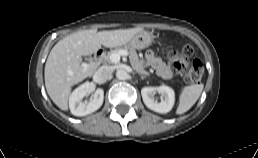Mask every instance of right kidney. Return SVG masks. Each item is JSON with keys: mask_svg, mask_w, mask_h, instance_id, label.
Returning a JSON list of instances; mask_svg holds the SVG:
<instances>
[{"mask_svg": "<svg viewBox=\"0 0 258 158\" xmlns=\"http://www.w3.org/2000/svg\"><path fill=\"white\" fill-rule=\"evenodd\" d=\"M93 90L91 83L86 82L76 88L69 97V108L73 115L82 117L88 114H91L98 110L104 100V91L101 88H98L94 94L93 99L89 102H83V98L90 94Z\"/></svg>", "mask_w": 258, "mask_h": 158, "instance_id": "ca27d5eb", "label": "right kidney"}]
</instances>
